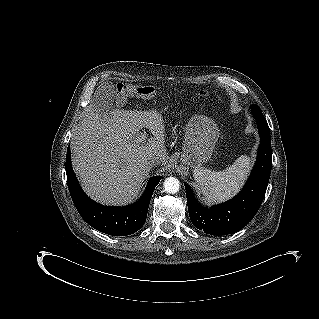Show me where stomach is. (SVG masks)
Returning <instances> with one entry per match:
<instances>
[{
  "instance_id": "0dacf381",
  "label": "stomach",
  "mask_w": 319,
  "mask_h": 319,
  "mask_svg": "<svg viewBox=\"0 0 319 319\" xmlns=\"http://www.w3.org/2000/svg\"><path fill=\"white\" fill-rule=\"evenodd\" d=\"M219 135L217 125L211 119L202 115L192 117L186 127L181 163L192 168L207 163Z\"/></svg>"
}]
</instances>
